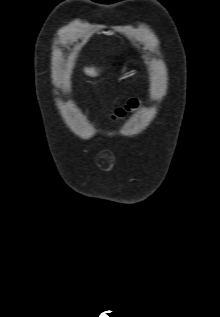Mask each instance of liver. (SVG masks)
<instances>
[{"label": "liver", "mask_w": 220, "mask_h": 317, "mask_svg": "<svg viewBox=\"0 0 220 317\" xmlns=\"http://www.w3.org/2000/svg\"><path fill=\"white\" fill-rule=\"evenodd\" d=\"M84 72L91 77H95L98 75L97 71L94 68H85Z\"/></svg>", "instance_id": "1"}]
</instances>
